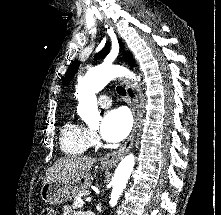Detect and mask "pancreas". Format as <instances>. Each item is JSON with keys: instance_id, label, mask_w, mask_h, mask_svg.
Listing matches in <instances>:
<instances>
[{"instance_id": "1", "label": "pancreas", "mask_w": 221, "mask_h": 215, "mask_svg": "<svg viewBox=\"0 0 221 215\" xmlns=\"http://www.w3.org/2000/svg\"><path fill=\"white\" fill-rule=\"evenodd\" d=\"M87 195H89V191L87 190L80 192L77 196H75L72 207L74 209L83 207L84 202L81 199H79V197L87 196Z\"/></svg>"}]
</instances>
